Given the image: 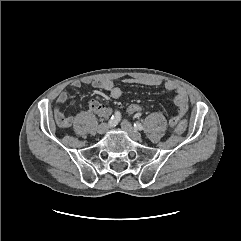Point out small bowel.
<instances>
[{
  "mask_svg": "<svg viewBox=\"0 0 241 241\" xmlns=\"http://www.w3.org/2000/svg\"><path fill=\"white\" fill-rule=\"evenodd\" d=\"M126 84H143L148 86H159L162 82L158 79H136V78H126L124 79ZM83 84H90L97 90L107 91L113 99H118L122 95V90L120 87L116 86L111 80L108 79H96L90 80L86 79L83 81L75 80L71 83L73 88H80ZM168 91L175 93V104L177 107V113L174 117L170 119V125L175 127L178 121H180L187 113L189 109V99L187 92L184 88L179 86L174 81H167L164 84ZM68 99L67 92H61L57 97V105L55 107L54 116L59 127L68 128L74 122V117L67 116L62 111V106ZM88 110L90 112L96 113L101 117H107L111 110L101 103L97 99H92L89 101Z\"/></svg>",
  "mask_w": 241,
  "mask_h": 241,
  "instance_id": "obj_1",
  "label": "small bowel"
}]
</instances>
